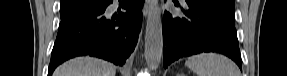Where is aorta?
<instances>
[{
  "label": "aorta",
  "mask_w": 287,
  "mask_h": 76,
  "mask_svg": "<svg viewBox=\"0 0 287 76\" xmlns=\"http://www.w3.org/2000/svg\"><path fill=\"white\" fill-rule=\"evenodd\" d=\"M144 55L147 66L152 70L157 69L163 55L162 22L157 7L147 18Z\"/></svg>",
  "instance_id": "762f6f07"
}]
</instances>
